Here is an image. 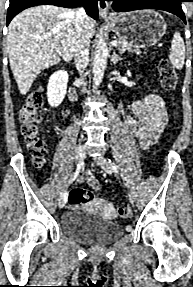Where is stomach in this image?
<instances>
[{
  "mask_svg": "<svg viewBox=\"0 0 193 287\" xmlns=\"http://www.w3.org/2000/svg\"><path fill=\"white\" fill-rule=\"evenodd\" d=\"M108 24L120 39L135 48L154 45L163 37L167 27L164 18L153 10L121 13Z\"/></svg>",
  "mask_w": 193,
  "mask_h": 287,
  "instance_id": "stomach-1",
  "label": "stomach"
}]
</instances>
